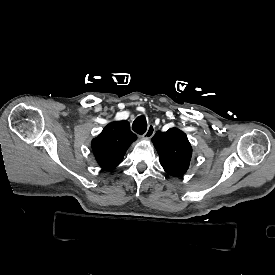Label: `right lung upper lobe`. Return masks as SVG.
I'll list each match as a JSON object with an SVG mask.
<instances>
[{
	"mask_svg": "<svg viewBox=\"0 0 275 275\" xmlns=\"http://www.w3.org/2000/svg\"><path fill=\"white\" fill-rule=\"evenodd\" d=\"M136 139L137 136L130 130L129 122L109 123L91 143L100 167L106 171L113 170L122 162L130 144Z\"/></svg>",
	"mask_w": 275,
	"mask_h": 275,
	"instance_id": "1",
	"label": "right lung upper lobe"
}]
</instances>
